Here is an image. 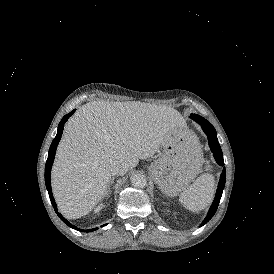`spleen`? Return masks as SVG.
I'll list each match as a JSON object with an SVG mask.
<instances>
[{
    "instance_id": "spleen-1",
    "label": "spleen",
    "mask_w": 274,
    "mask_h": 274,
    "mask_svg": "<svg viewBox=\"0 0 274 274\" xmlns=\"http://www.w3.org/2000/svg\"><path fill=\"white\" fill-rule=\"evenodd\" d=\"M193 146L196 150L199 163H203L201 147L196 139ZM215 193L214 177L209 173L200 175L192 185L180 194V201L184 207L191 211H198L206 208L213 199Z\"/></svg>"
}]
</instances>
